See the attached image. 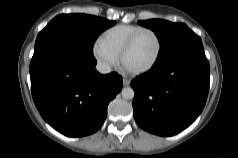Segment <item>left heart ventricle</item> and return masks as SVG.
Segmentation results:
<instances>
[{
    "label": "left heart ventricle",
    "mask_w": 238,
    "mask_h": 158,
    "mask_svg": "<svg viewBox=\"0 0 238 158\" xmlns=\"http://www.w3.org/2000/svg\"><path fill=\"white\" fill-rule=\"evenodd\" d=\"M157 42L151 33H143L135 42L125 58V64L130 69H140L147 66L155 57Z\"/></svg>",
    "instance_id": "left-heart-ventricle-1"
}]
</instances>
